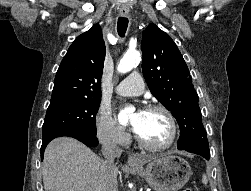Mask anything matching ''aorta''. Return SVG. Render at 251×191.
I'll return each mask as SVG.
<instances>
[{
    "label": "aorta",
    "mask_w": 251,
    "mask_h": 191,
    "mask_svg": "<svg viewBox=\"0 0 251 191\" xmlns=\"http://www.w3.org/2000/svg\"><path fill=\"white\" fill-rule=\"evenodd\" d=\"M139 60V52L128 50L117 66L118 72H120V74H127V72H130V70H133V68L139 64ZM130 111H134L133 107H125V109H121L120 113H118V119H125V117H128Z\"/></svg>",
    "instance_id": "aorta-1"
}]
</instances>
